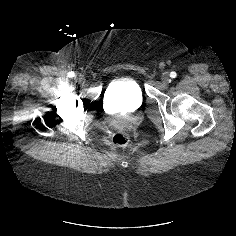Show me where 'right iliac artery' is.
<instances>
[{"label":"right iliac artery","instance_id":"obj_1","mask_svg":"<svg viewBox=\"0 0 236 236\" xmlns=\"http://www.w3.org/2000/svg\"><path fill=\"white\" fill-rule=\"evenodd\" d=\"M68 76L72 78V77L75 76V73L73 71H71V72L68 73Z\"/></svg>","mask_w":236,"mask_h":236}]
</instances>
